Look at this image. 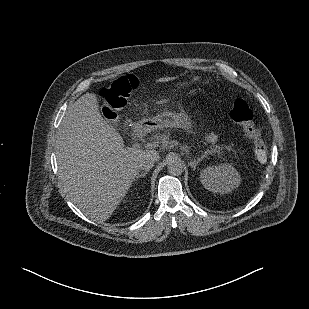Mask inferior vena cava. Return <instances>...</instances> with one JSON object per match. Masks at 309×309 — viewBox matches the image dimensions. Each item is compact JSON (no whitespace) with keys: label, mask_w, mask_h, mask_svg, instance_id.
<instances>
[{"label":"inferior vena cava","mask_w":309,"mask_h":309,"mask_svg":"<svg viewBox=\"0 0 309 309\" xmlns=\"http://www.w3.org/2000/svg\"><path fill=\"white\" fill-rule=\"evenodd\" d=\"M155 160L153 158H147L140 164V169L149 171L154 166Z\"/></svg>","instance_id":"1"}]
</instances>
